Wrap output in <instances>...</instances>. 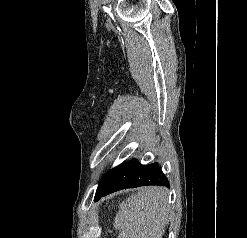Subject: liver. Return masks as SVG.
<instances>
[{"label":"liver","instance_id":"liver-1","mask_svg":"<svg viewBox=\"0 0 247 238\" xmlns=\"http://www.w3.org/2000/svg\"><path fill=\"white\" fill-rule=\"evenodd\" d=\"M168 190L149 186L139 188L119 204L114 227L118 238H162L168 223Z\"/></svg>","mask_w":247,"mask_h":238}]
</instances>
